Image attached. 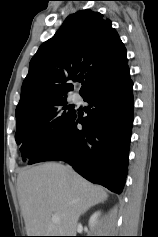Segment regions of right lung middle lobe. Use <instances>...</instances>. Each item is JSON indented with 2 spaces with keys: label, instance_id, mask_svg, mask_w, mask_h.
Segmentation results:
<instances>
[{
  "label": "right lung middle lobe",
  "instance_id": "dd1d6c3e",
  "mask_svg": "<svg viewBox=\"0 0 158 237\" xmlns=\"http://www.w3.org/2000/svg\"><path fill=\"white\" fill-rule=\"evenodd\" d=\"M75 110L67 105L66 99L49 103L35 114L16 118L15 139L21 145L23 160L31 159L51 136L67 122Z\"/></svg>",
  "mask_w": 158,
  "mask_h": 237
}]
</instances>
